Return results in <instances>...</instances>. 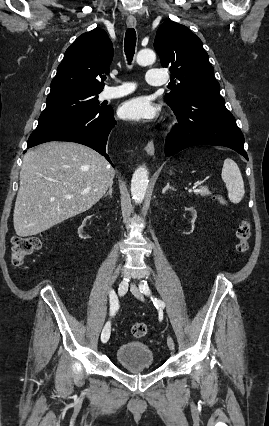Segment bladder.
I'll use <instances>...</instances> for the list:
<instances>
[{
  "mask_svg": "<svg viewBox=\"0 0 269 426\" xmlns=\"http://www.w3.org/2000/svg\"><path fill=\"white\" fill-rule=\"evenodd\" d=\"M114 358L126 370L151 368L154 363L153 351L139 341H130L119 345Z\"/></svg>",
  "mask_w": 269,
  "mask_h": 426,
  "instance_id": "1",
  "label": "bladder"
}]
</instances>
